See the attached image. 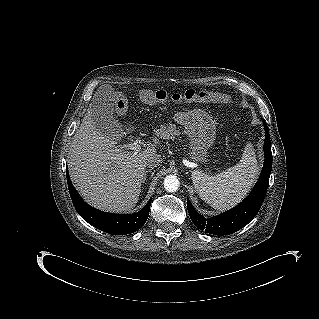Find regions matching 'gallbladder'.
Instances as JSON below:
<instances>
[{
    "mask_svg": "<svg viewBox=\"0 0 319 319\" xmlns=\"http://www.w3.org/2000/svg\"><path fill=\"white\" fill-rule=\"evenodd\" d=\"M113 89L102 87L92 99L91 111L97 130L103 134L112 135L123 131L120 123L114 118Z\"/></svg>",
    "mask_w": 319,
    "mask_h": 319,
    "instance_id": "gallbladder-1",
    "label": "gallbladder"
}]
</instances>
